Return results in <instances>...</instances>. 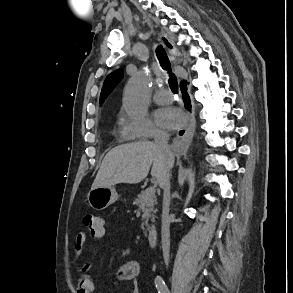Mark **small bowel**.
Masks as SVG:
<instances>
[{"label":"small bowel","instance_id":"1","mask_svg":"<svg viewBox=\"0 0 293 293\" xmlns=\"http://www.w3.org/2000/svg\"><path fill=\"white\" fill-rule=\"evenodd\" d=\"M95 238H101L105 235V227L103 225L102 230L99 233L92 234ZM87 235L84 231H79L75 237V250L77 255H81L86 243ZM88 264L83 265V271L88 270ZM140 267L136 261H127L120 266L117 274V278L122 282H133L131 293H141L139 285L137 283V277L139 275ZM78 293H95V286L88 274H82L77 279Z\"/></svg>","mask_w":293,"mask_h":293}]
</instances>
